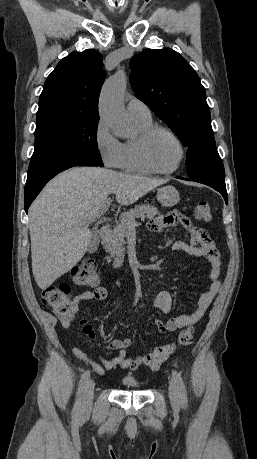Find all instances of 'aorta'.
Instances as JSON below:
<instances>
[{
    "label": "aorta",
    "instance_id": "aorta-1",
    "mask_svg": "<svg viewBox=\"0 0 257 459\" xmlns=\"http://www.w3.org/2000/svg\"><path fill=\"white\" fill-rule=\"evenodd\" d=\"M126 84V75L119 71L104 83L99 102L102 121L121 138H129L133 133L131 121L122 104Z\"/></svg>",
    "mask_w": 257,
    "mask_h": 459
}]
</instances>
